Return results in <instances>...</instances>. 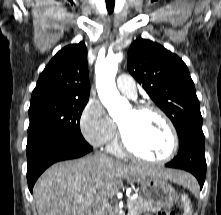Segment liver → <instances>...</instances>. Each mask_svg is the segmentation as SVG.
I'll return each mask as SVG.
<instances>
[{"label": "liver", "instance_id": "liver-1", "mask_svg": "<svg viewBox=\"0 0 221 215\" xmlns=\"http://www.w3.org/2000/svg\"><path fill=\"white\" fill-rule=\"evenodd\" d=\"M144 176L182 185L194 181L191 175L177 170L87 156L48 168L34 186V202L38 215H88L95 203L108 202L119 191L122 178L139 182Z\"/></svg>", "mask_w": 221, "mask_h": 215}]
</instances>
